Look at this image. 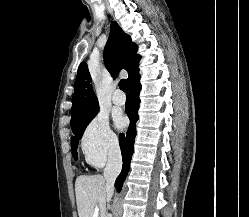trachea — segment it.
I'll use <instances>...</instances> for the list:
<instances>
[{
    "instance_id": "obj_1",
    "label": "trachea",
    "mask_w": 249,
    "mask_h": 217,
    "mask_svg": "<svg viewBox=\"0 0 249 217\" xmlns=\"http://www.w3.org/2000/svg\"><path fill=\"white\" fill-rule=\"evenodd\" d=\"M119 87H120V89H121L122 91H124L125 93H127V92H128L127 80H125V79L120 80V82H119Z\"/></svg>"
}]
</instances>
